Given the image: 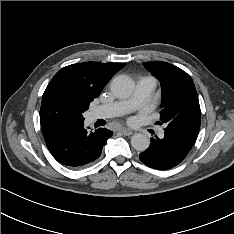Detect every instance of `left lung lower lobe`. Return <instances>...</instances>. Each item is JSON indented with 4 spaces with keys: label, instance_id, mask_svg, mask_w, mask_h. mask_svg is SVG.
Returning <instances> with one entry per match:
<instances>
[{
    "label": "left lung lower lobe",
    "instance_id": "1",
    "mask_svg": "<svg viewBox=\"0 0 234 234\" xmlns=\"http://www.w3.org/2000/svg\"><path fill=\"white\" fill-rule=\"evenodd\" d=\"M190 149L176 137L165 133L162 139L151 138L149 148L139 158L151 168L167 170L181 163Z\"/></svg>",
    "mask_w": 234,
    "mask_h": 234
}]
</instances>
